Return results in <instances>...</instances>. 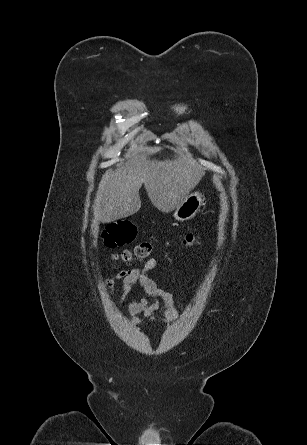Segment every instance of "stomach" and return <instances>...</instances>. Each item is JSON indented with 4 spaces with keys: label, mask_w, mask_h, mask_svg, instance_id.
<instances>
[{
    "label": "stomach",
    "mask_w": 307,
    "mask_h": 445,
    "mask_svg": "<svg viewBox=\"0 0 307 445\" xmlns=\"http://www.w3.org/2000/svg\"><path fill=\"white\" fill-rule=\"evenodd\" d=\"M203 194L201 192H191L187 198L175 208L173 216L175 220H189L197 214L203 204Z\"/></svg>",
    "instance_id": "stomach-1"
}]
</instances>
